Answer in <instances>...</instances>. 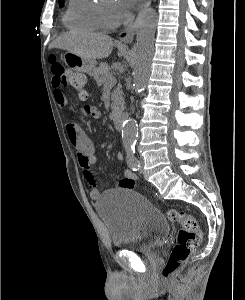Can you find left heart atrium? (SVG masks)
<instances>
[{
  "instance_id": "39dd6f15",
  "label": "left heart atrium",
  "mask_w": 245,
  "mask_h": 300,
  "mask_svg": "<svg viewBox=\"0 0 245 300\" xmlns=\"http://www.w3.org/2000/svg\"><path fill=\"white\" fill-rule=\"evenodd\" d=\"M140 0H120L121 9L117 12V17L124 19L128 16L129 12L133 9V7L139 2Z\"/></svg>"
}]
</instances>
